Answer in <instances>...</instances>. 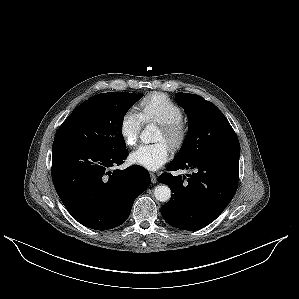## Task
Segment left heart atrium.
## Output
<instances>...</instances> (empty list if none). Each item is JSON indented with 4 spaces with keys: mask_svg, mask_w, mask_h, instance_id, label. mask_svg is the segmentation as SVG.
<instances>
[{
    "mask_svg": "<svg viewBox=\"0 0 299 299\" xmlns=\"http://www.w3.org/2000/svg\"><path fill=\"white\" fill-rule=\"evenodd\" d=\"M170 156V146L165 140L151 144H142L131 154L130 160L149 170H156L161 167Z\"/></svg>",
    "mask_w": 299,
    "mask_h": 299,
    "instance_id": "39dd6f15",
    "label": "left heart atrium"
}]
</instances>
